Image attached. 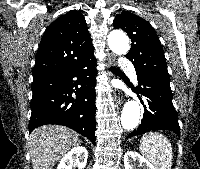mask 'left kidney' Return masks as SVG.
<instances>
[{
	"label": "left kidney",
	"mask_w": 200,
	"mask_h": 169,
	"mask_svg": "<svg viewBox=\"0 0 200 169\" xmlns=\"http://www.w3.org/2000/svg\"><path fill=\"white\" fill-rule=\"evenodd\" d=\"M137 165L142 169H156L150 161L139 153L135 151H127L124 155L125 169H135Z\"/></svg>",
	"instance_id": "obj_1"
}]
</instances>
